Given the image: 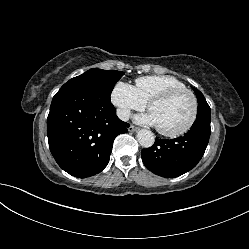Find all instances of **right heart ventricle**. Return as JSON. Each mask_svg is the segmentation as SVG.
Listing matches in <instances>:
<instances>
[{
    "mask_svg": "<svg viewBox=\"0 0 249 249\" xmlns=\"http://www.w3.org/2000/svg\"><path fill=\"white\" fill-rule=\"evenodd\" d=\"M140 97L149 103L154 97L172 89L185 88V84L170 75H148L135 80Z\"/></svg>",
    "mask_w": 249,
    "mask_h": 249,
    "instance_id": "e07e8e85",
    "label": "right heart ventricle"
}]
</instances>
